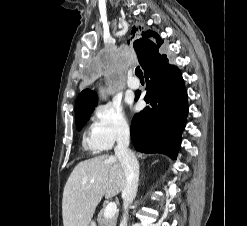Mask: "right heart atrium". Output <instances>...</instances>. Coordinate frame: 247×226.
Instances as JSON below:
<instances>
[{
    "label": "right heart atrium",
    "instance_id": "1",
    "mask_svg": "<svg viewBox=\"0 0 247 226\" xmlns=\"http://www.w3.org/2000/svg\"><path fill=\"white\" fill-rule=\"evenodd\" d=\"M131 127L122 110L116 106L96 109L87 135V144L100 150H110L128 139Z\"/></svg>",
    "mask_w": 247,
    "mask_h": 226
}]
</instances>
